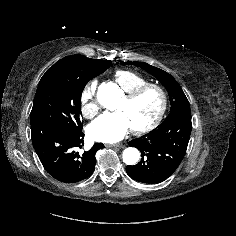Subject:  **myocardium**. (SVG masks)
<instances>
[{
    "label": "myocardium",
    "mask_w": 236,
    "mask_h": 236,
    "mask_svg": "<svg viewBox=\"0 0 236 236\" xmlns=\"http://www.w3.org/2000/svg\"><path fill=\"white\" fill-rule=\"evenodd\" d=\"M149 90H155L160 95V98H161L160 108L155 118L151 122L140 127H132V130L137 134L147 133L155 129L161 123L167 110V105H168L167 93L162 86L155 83H147L131 91L126 92L124 99L127 102L134 101L135 99H137L138 97H140L142 94H144L145 92Z\"/></svg>",
    "instance_id": "obj_1"
}]
</instances>
